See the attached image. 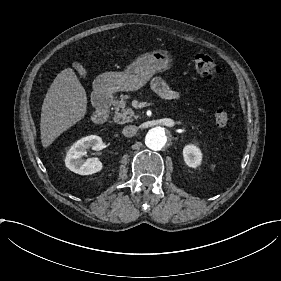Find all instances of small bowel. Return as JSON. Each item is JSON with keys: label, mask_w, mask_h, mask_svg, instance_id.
Masks as SVG:
<instances>
[{"label": "small bowel", "mask_w": 281, "mask_h": 281, "mask_svg": "<svg viewBox=\"0 0 281 281\" xmlns=\"http://www.w3.org/2000/svg\"><path fill=\"white\" fill-rule=\"evenodd\" d=\"M150 85L158 95L167 100L177 101L180 99V93L172 90L168 86V84L160 77L152 78Z\"/></svg>", "instance_id": "c3829d8e"}]
</instances>
